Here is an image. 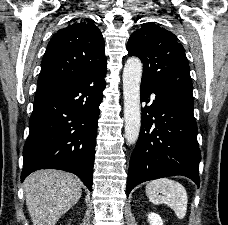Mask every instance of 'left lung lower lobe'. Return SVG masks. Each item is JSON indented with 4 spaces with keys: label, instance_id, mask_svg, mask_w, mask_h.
I'll return each instance as SVG.
<instances>
[{
    "label": "left lung lower lobe",
    "instance_id": "0a47b994",
    "mask_svg": "<svg viewBox=\"0 0 228 225\" xmlns=\"http://www.w3.org/2000/svg\"><path fill=\"white\" fill-rule=\"evenodd\" d=\"M152 93L153 101L149 99ZM140 97L149 105L142 109L141 130L129 163L127 195L142 182L175 175L186 176L199 187L201 153L193 98L158 89L144 80Z\"/></svg>",
    "mask_w": 228,
    "mask_h": 225
}]
</instances>
